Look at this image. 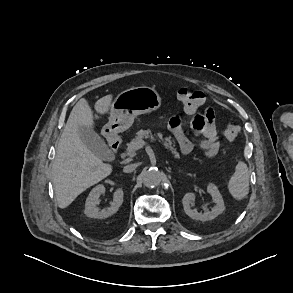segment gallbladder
I'll return each instance as SVG.
<instances>
[{
    "instance_id": "bac80fb5",
    "label": "gallbladder",
    "mask_w": 293,
    "mask_h": 293,
    "mask_svg": "<svg viewBox=\"0 0 293 293\" xmlns=\"http://www.w3.org/2000/svg\"><path fill=\"white\" fill-rule=\"evenodd\" d=\"M79 135L85 146L100 159H105L111 154L104 140L93 129L80 126Z\"/></svg>"
}]
</instances>
